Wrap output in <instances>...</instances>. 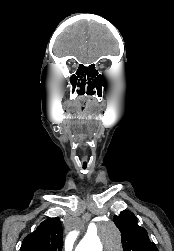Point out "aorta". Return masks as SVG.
<instances>
[{"label": "aorta", "mask_w": 174, "mask_h": 251, "mask_svg": "<svg viewBox=\"0 0 174 251\" xmlns=\"http://www.w3.org/2000/svg\"><path fill=\"white\" fill-rule=\"evenodd\" d=\"M105 247L107 251H118L120 249V235L113 225L103 228ZM103 246L98 239L85 237L76 247L75 251H102Z\"/></svg>", "instance_id": "aorta-1"}]
</instances>
